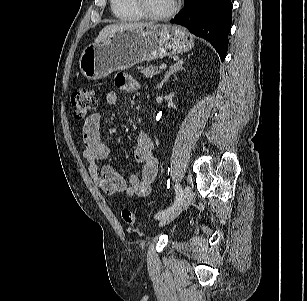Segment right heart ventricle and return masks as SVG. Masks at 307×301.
I'll return each instance as SVG.
<instances>
[{
	"label": "right heart ventricle",
	"instance_id": "right-heart-ventricle-1",
	"mask_svg": "<svg viewBox=\"0 0 307 301\" xmlns=\"http://www.w3.org/2000/svg\"><path fill=\"white\" fill-rule=\"evenodd\" d=\"M110 5L114 16L120 21L133 22L143 18L132 0H110Z\"/></svg>",
	"mask_w": 307,
	"mask_h": 301
}]
</instances>
